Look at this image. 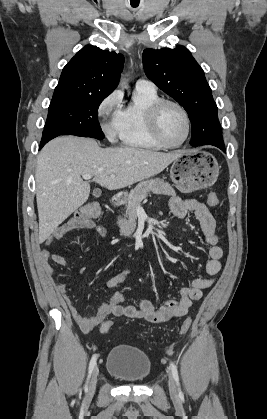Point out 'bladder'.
<instances>
[{
  "label": "bladder",
  "mask_w": 267,
  "mask_h": 419,
  "mask_svg": "<svg viewBox=\"0 0 267 419\" xmlns=\"http://www.w3.org/2000/svg\"><path fill=\"white\" fill-rule=\"evenodd\" d=\"M106 369L110 376L119 381L140 384L150 376L152 364L144 351L128 345H117L108 354Z\"/></svg>",
  "instance_id": "1"
}]
</instances>
